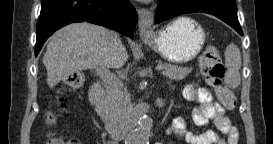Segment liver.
<instances>
[{
  "label": "liver",
  "mask_w": 273,
  "mask_h": 144,
  "mask_svg": "<svg viewBox=\"0 0 273 144\" xmlns=\"http://www.w3.org/2000/svg\"><path fill=\"white\" fill-rule=\"evenodd\" d=\"M110 32L87 22L70 24L56 31L43 57L48 86L54 87L85 69L121 68L128 54L120 39L117 51H112Z\"/></svg>",
  "instance_id": "obj_1"
}]
</instances>
